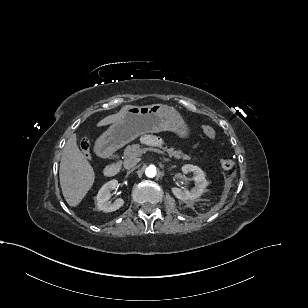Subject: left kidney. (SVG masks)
I'll list each match as a JSON object with an SVG mask.
<instances>
[{"mask_svg":"<svg viewBox=\"0 0 308 308\" xmlns=\"http://www.w3.org/2000/svg\"><path fill=\"white\" fill-rule=\"evenodd\" d=\"M182 172L184 174L190 173L192 172L194 175V182H195V186L190 190H182L180 188L177 187H172L171 191L173 193V195L181 200V201H187V200H195L197 198H199L203 192L205 191L206 187H207V181L205 179V173L203 172V170L201 168H199L198 166H194L191 164H186L182 167Z\"/></svg>","mask_w":308,"mask_h":308,"instance_id":"1","label":"left kidney"}]
</instances>
